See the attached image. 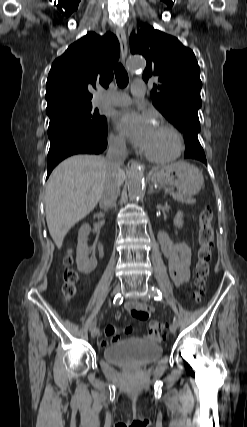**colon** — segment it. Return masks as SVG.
I'll list each match as a JSON object with an SVG mask.
<instances>
[{"mask_svg":"<svg viewBox=\"0 0 247 427\" xmlns=\"http://www.w3.org/2000/svg\"><path fill=\"white\" fill-rule=\"evenodd\" d=\"M213 214L209 208H204L199 213V233H198V252L197 262L195 266V291L193 300L195 304L201 301L203 289L206 284L207 277L210 271V262L212 258V248L214 243V230L212 227ZM67 267L64 273V284L62 286V293L65 299H71L77 292V284L79 281V274L71 266L73 264V257L68 253L64 259ZM149 334L155 339H161L166 332V327L156 321L150 322Z\"/></svg>","mask_w":247,"mask_h":427,"instance_id":"1","label":"colon"}]
</instances>
